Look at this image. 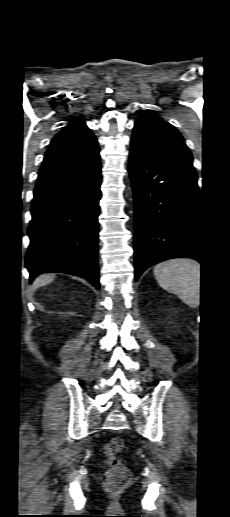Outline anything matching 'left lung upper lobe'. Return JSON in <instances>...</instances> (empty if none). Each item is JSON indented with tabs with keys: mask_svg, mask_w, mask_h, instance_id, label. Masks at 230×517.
<instances>
[{
	"mask_svg": "<svg viewBox=\"0 0 230 517\" xmlns=\"http://www.w3.org/2000/svg\"><path fill=\"white\" fill-rule=\"evenodd\" d=\"M131 148L154 158L193 167L181 134L160 117L142 113L135 122Z\"/></svg>",
	"mask_w": 230,
	"mask_h": 517,
	"instance_id": "1",
	"label": "left lung upper lobe"
}]
</instances>
